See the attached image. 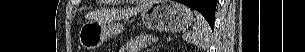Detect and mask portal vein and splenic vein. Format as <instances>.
<instances>
[{
  "label": "portal vein and splenic vein",
  "instance_id": "obj_1",
  "mask_svg": "<svg viewBox=\"0 0 305 52\" xmlns=\"http://www.w3.org/2000/svg\"><path fill=\"white\" fill-rule=\"evenodd\" d=\"M156 41H158V38H153L152 39V42H156Z\"/></svg>",
  "mask_w": 305,
  "mask_h": 52
}]
</instances>
